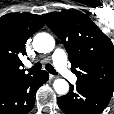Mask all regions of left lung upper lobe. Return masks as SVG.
Masks as SVG:
<instances>
[{"instance_id":"1","label":"left lung upper lobe","mask_w":114,"mask_h":114,"mask_svg":"<svg viewBox=\"0 0 114 114\" xmlns=\"http://www.w3.org/2000/svg\"><path fill=\"white\" fill-rule=\"evenodd\" d=\"M47 26L61 39L77 81L114 91V46L91 21L77 11L43 15Z\"/></svg>"}]
</instances>
